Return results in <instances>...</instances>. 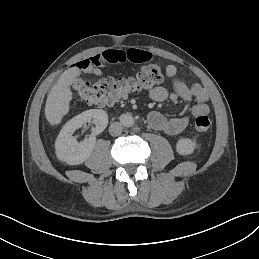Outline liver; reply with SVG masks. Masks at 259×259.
<instances>
[{
	"label": "liver",
	"mask_w": 259,
	"mask_h": 259,
	"mask_svg": "<svg viewBox=\"0 0 259 259\" xmlns=\"http://www.w3.org/2000/svg\"><path fill=\"white\" fill-rule=\"evenodd\" d=\"M81 75V68L71 66L61 73L52 86L44 108L45 119L51 127L61 125L64 117L68 115L73 100L71 86L78 82Z\"/></svg>",
	"instance_id": "liver-1"
}]
</instances>
